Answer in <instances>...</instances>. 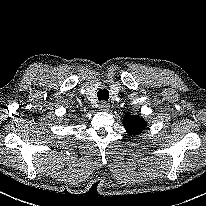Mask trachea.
Listing matches in <instances>:
<instances>
[{
    "label": "trachea",
    "instance_id": "1",
    "mask_svg": "<svg viewBox=\"0 0 206 206\" xmlns=\"http://www.w3.org/2000/svg\"><path fill=\"white\" fill-rule=\"evenodd\" d=\"M97 96H98L99 101H102V100L108 101L109 92L107 89H100L97 93Z\"/></svg>",
    "mask_w": 206,
    "mask_h": 206
}]
</instances>
